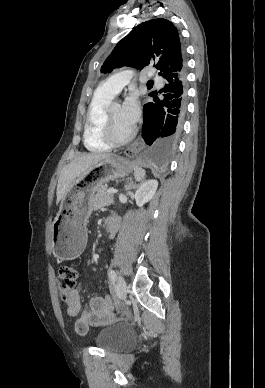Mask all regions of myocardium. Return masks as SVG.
I'll return each mask as SVG.
<instances>
[{
	"label": "myocardium",
	"instance_id": "f54148a6",
	"mask_svg": "<svg viewBox=\"0 0 265 388\" xmlns=\"http://www.w3.org/2000/svg\"><path fill=\"white\" fill-rule=\"evenodd\" d=\"M100 90H102V89H100ZM103 90L104 91H116L117 94L120 92V90H105V89H103ZM130 91H132V90H130ZM113 105L114 104L108 105L106 107V109L104 110L102 117H101V120H100L99 131H100V135L103 138V140H105L109 144L122 145V144H125L128 141H130L132 138H134V136L136 135V129L134 127H132L127 133L122 134V135L116 134L113 131V129L110 125V113H111Z\"/></svg>",
	"mask_w": 265,
	"mask_h": 388
}]
</instances>
